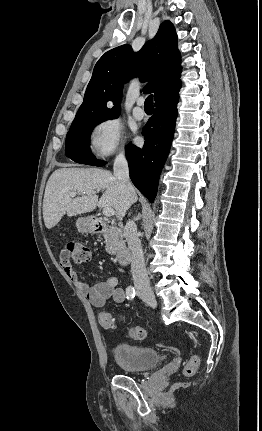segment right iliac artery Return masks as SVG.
I'll return each mask as SVG.
<instances>
[{
    "instance_id": "right-iliac-artery-1",
    "label": "right iliac artery",
    "mask_w": 262,
    "mask_h": 431,
    "mask_svg": "<svg viewBox=\"0 0 262 431\" xmlns=\"http://www.w3.org/2000/svg\"><path fill=\"white\" fill-rule=\"evenodd\" d=\"M127 299H133L135 297V289L133 286H128L126 289Z\"/></svg>"
}]
</instances>
